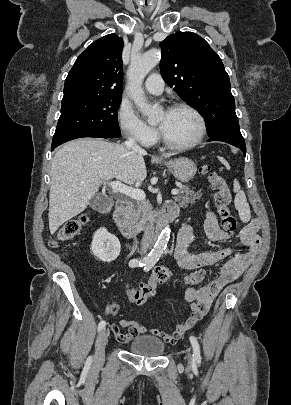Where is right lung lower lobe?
<instances>
[{"label": "right lung lower lobe", "instance_id": "98d812e1", "mask_svg": "<svg viewBox=\"0 0 291 405\" xmlns=\"http://www.w3.org/2000/svg\"><path fill=\"white\" fill-rule=\"evenodd\" d=\"M96 137H100V138H111V137H103V136H96ZM57 146H53L52 150L55 149Z\"/></svg>", "mask_w": 291, "mask_h": 405}]
</instances>
